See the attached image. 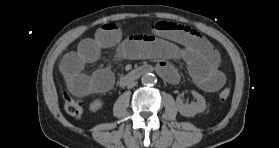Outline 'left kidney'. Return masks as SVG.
I'll return each mask as SVG.
<instances>
[{"label":"left kidney","mask_w":279,"mask_h":148,"mask_svg":"<svg viewBox=\"0 0 279 148\" xmlns=\"http://www.w3.org/2000/svg\"><path fill=\"white\" fill-rule=\"evenodd\" d=\"M193 96L196 98V102L190 104H184L181 96L176 99V106L179 113L185 117H194L198 113H202L206 110L205 98L196 91H192Z\"/></svg>","instance_id":"1"}]
</instances>
